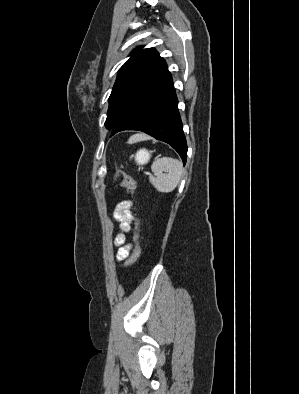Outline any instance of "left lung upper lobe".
Masks as SVG:
<instances>
[{
  "instance_id": "left-lung-upper-lobe-1",
  "label": "left lung upper lobe",
  "mask_w": 299,
  "mask_h": 394,
  "mask_svg": "<svg viewBox=\"0 0 299 394\" xmlns=\"http://www.w3.org/2000/svg\"><path fill=\"white\" fill-rule=\"evenodd\" d=\"M142 48L134 49L118 71L105 122L109 130L117 125L147 87L167 70L165 60L154 48Z\"/></svg>"
}]
</instances>
